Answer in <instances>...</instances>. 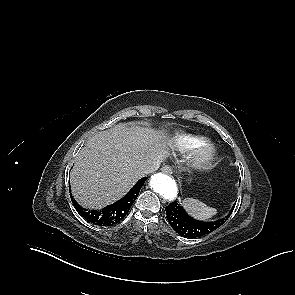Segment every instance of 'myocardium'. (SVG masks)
<instances>
[{
    "label": "myocardium",
    "instance_id": "f54148a6",
    "mask_svg": "<svg viewBox=\"0 0 295 295\" xmlns=\"http://www.w3.org/2000/svg\"><path fill=\"white\" fill-rule=\"evenodd\" d=\"M217 148L209 142H205L196 148L191 155V162L197 169H205L216 158Z\"/></svg>",
    "mask_w": 295,
    "mask_h": 295
}]
</instances>
